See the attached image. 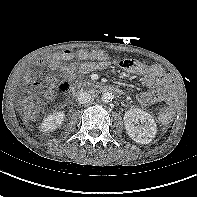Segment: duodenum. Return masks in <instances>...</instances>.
I'll return each instance as SVG.
<instances>
[{
    "mask_svg": "<svg viewBox=\"0 0 197 197\" xmlns=\"http://www.w3.org/2000/svg\"><path fill=\"white\" fill-rule=\"evenodd\" d=\"M83 91H88V92H106V91H112L118 94H122V90L119 89L118 87H113L109 85H88L86 87H75L74 92H83Z\"/></svg>",
    "mask_w": 197,
    "mask_h": 197,
    "instance_id": "410a0bca",
    "label": "duodenum"
}]
</instances>
